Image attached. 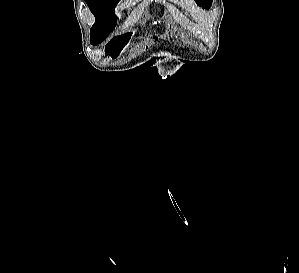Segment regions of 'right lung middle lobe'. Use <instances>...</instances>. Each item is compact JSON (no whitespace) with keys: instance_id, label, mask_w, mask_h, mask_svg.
<instances>
[{"instance_id":"dd1d6c3e","label":"right lung middle lobe","mask_w":299,"mask_h":273,"mask_svg":"<svg viewBox=\"0 0 299 273\" xmlns=\"http://www.w3.org/2000/svg\"><path fill=\"white\" fill-rule=\"evenodd\" d=\"M91 12L96 18L91 28V43L97 44L103 41L114 30L117 17L114 10L119 0H85Z\"/></svg>"}]
</instances>
